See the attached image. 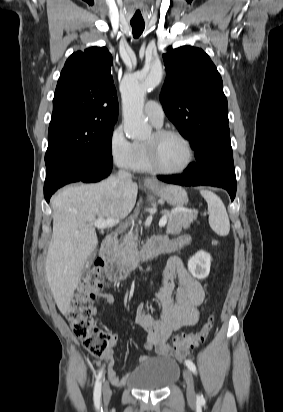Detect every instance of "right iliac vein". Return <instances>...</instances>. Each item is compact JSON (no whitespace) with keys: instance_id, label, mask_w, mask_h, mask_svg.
<instances>
[{"instance_id":"right-iliac-vein-1","label":"right iliac vein","mask_w":283,"mask_h":412,"mask_svg":"<svg viewBox=\"0 0 283 412\" xmlns=\"http://www.w3.org/2000/svg\"><path fill=\"white\" fill-rule=\"evenodd\" d=\"M110 398H111L110 385H109V382L106 381L103 386V401L105 405L109 403Z\"/></svg>"}]
</instances>
